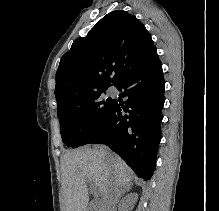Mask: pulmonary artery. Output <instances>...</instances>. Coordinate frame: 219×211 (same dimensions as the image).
Wrapping results in <instances>:
<instances>
[{
  "instance_id": "e3ab8cb5",
  "label": "pulmonary artery",
  "mask_w": 219,
  "mask_h": 211,
  "mask_svg": "<svg viewBox=\"0 0 219 211\" xmlns=\"http://www.w3.org/2000/svg\"><path fill=\"white\" fill-rule=\"evenodd\" d=\"M109 93H110L111 95H116V90H115V89H110V90H109Z\"/></svg>"
}]
</instances>
